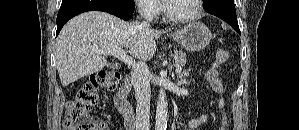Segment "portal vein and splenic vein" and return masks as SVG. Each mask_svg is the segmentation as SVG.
Listing matches in <instances>:
<instances>
[{
    "instance_id": "portal-vein-and-splenic-vein-1",
    "label": "portal vein and splenic vein",
    "mask_w": 299,
    "mask_h": 130,
    "mask_svg": "<svg viewBox=\"0 0 299 130\" xmlns=\"http://www.w3.org/2000/svg\"><path fill=\"white\" fill-rule=\"evenodd\" d=\"M97 53L103 55H112L115 58L119 59L120 61L124 62L127 65H134L135 60L126 54V52L119 48V49H106V50H96ZM182 68L180 66H176V73H180Z\"/></svg>"
}]
</instances>
